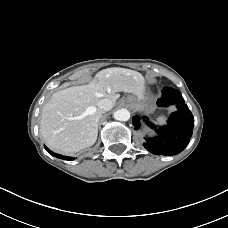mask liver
<instances>
[{"label":"liver","instance_id":"liver-1","mask_svg":"<svg viewBox=\"0 0 228 228\" xmlns=\"http://www.w3.org/2000/svg\"><path fill=\"white\" fill-rule=\"evenodd\" d=\"M144 90V77L137 71L118 67L101 70L89 84L52 95L42 109L41 135L50 148L63 154L90 147L96 142L103 113L98 102L108 98L113 107L119 92L142 97Z\"/></svg>","mask_w":228,"mask_h":228}]
</instances>
